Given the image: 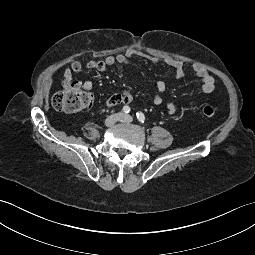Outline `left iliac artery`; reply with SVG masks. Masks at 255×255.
Listing matches in <instances>:
<instances>
[{
    "label": "left iliac artery",
    "instance_id": "obj_1",
    "mask_svg": "<svg viewBox=\"0 0 255 255\" xmlns=\"http://www.w3.org/2000/svg\"><path fill=\"white\" fill-rule=\"evenodd\" d=\"M136 117H137V119H138V121H139L140 123H144V121H145V116H144V114H143L142 112H137V113H136Z\"/></svg>",
    "mask_w": 255,
    "mask_h": 255
}]
</instances>
